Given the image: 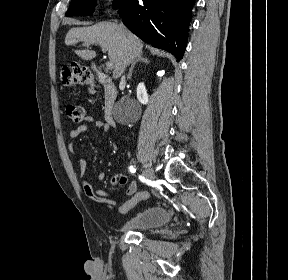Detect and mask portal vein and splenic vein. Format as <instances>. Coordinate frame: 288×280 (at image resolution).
<instances>
[{
    "label": "portal vein and splenic vein",
    "instance_id": "portal-vein-and-splenic-vein-1",
    "mask_svg": "<svg viewBox=\"0 0 288 280\" xmlns=\"http://www.w3.org/2000/svg\"><path fill=\"white\" fill-rule=\"evenodd\" d=\"M101 47H102V51L105 52L106 51L105 47L104 46H101ZM106 67L107 69H113V64L111 62H107Z\"/></svg>",
    "mask_w": 288,
    "mask_h": 280
}]
</instances>
